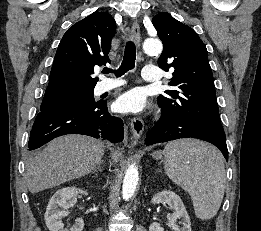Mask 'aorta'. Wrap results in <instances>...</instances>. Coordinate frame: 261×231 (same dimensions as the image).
<instances>
[{
	"instance_id": "obj_1",
	"label": "aorta",
	"mask_w": 261,
	"mask_h": 231,
	"mask_svg": "<svg viewBox=\"0 0 261 231\" xmlns=\"http://www.w3.org/2000/svg\"><path fill=\"white\" fill-rule=\"evenodd\" d=\"M143 49L148 55H159L162 52L163 46L159 40H146L143 44ZM139 180V172L136 164H131L126 170L123 186L122 196L124 199H129L133 196Z\"/></svg>"
}]
</instances>
